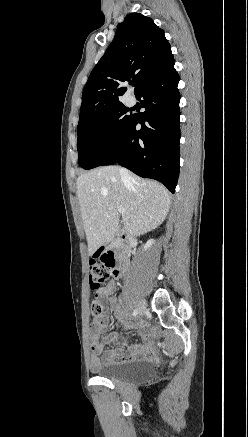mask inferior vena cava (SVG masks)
I'll return each instance as SVG.
<instances>
[{
	"mask_svg": "<svg viewBox=\"0 0 248 437\" xmlns=\"http://www.w3.org/2000/svg\"><path fill=\"white\" fill-rule=\"evenodd\" d=\"M120 173H121V176L123 177V178H126L127 177V170H125V169H120Z\"/></svg>",
	"mask_w": 248,
	"mask_h": 437,
	"instance_id": "1",
	"label": "inferior vena cava"
}]
</instances>
